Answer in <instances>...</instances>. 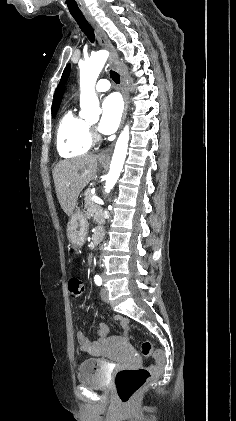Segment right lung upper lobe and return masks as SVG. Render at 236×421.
Listing matches in <instances>:
<instances>
[{"instance_id":"1","label":"right lung upper lobe","mask_w":236,"mask_h":421,"mask_svg":"<svg viewBox=\"0 0 236 421\" xmlns=\"http://www.w3.org/2000/svg\"><path fill=\"white\" fill-rule=\"evenodd\" d=\"M63 91H64V86L61 85L59 87L57 93L55 94V98H54V102H53V106H52V112L55 111V110H58L59 104H60L61 99H62Z\"/></svg>"}]
</instances>
